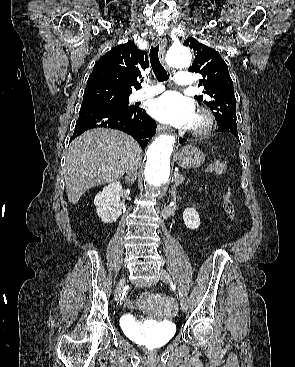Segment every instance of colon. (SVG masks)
Returning a JSON list of instances; mask_svg holds the SVG:
<instances>
[{
    "instance_id": "1",
    "label": "colon",
    "mask_w": 295,
    "mask_h": 367,
    "mask_svg": "<svg viewBox=\"0 0 295 367\" xmlns=\"http://www.w3.org/2000/svg\"><path fill=\"white\" fill-rule=\"evenodd\" d=\"M227 170V163L225 161H214L212 163H210L207 168L206 171L209 174H213V175H221L223 173H225ZM222 202H223V209L225 211V213L230 217V218H234L235 216V207L234 204L231 200V194L229 190H226L223 194H222ZM151 295V292L145 291L142 294V297L147 298Z\"/></svg>"
}]
</instances>
